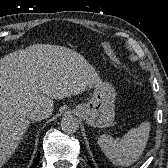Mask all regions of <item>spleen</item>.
Returning a JSON list of instances; mask_svg holds the SVG:
<instances>
[{
    "mask_svg": "<svg viewBox=\"0 0 168 168\" xmlns=\"http://www.w3.org/2000/svg\"><path fill=\"white\" fill-rule=\"evenodd\" d=\"M150 132V123L142 122L137 128L130 129L117 142L111 136L101 135L98 144L105 156L115 165L129 166L142 155Z\"/></svg>",
    "mask_w": 168,
    "mask_h": 168,
    "instance_id": "spleen-1",
    "label": "spleen"
}]
</instances>
